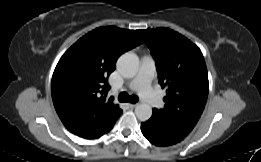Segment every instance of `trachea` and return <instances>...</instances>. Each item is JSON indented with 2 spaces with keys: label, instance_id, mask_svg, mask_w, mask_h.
<instances>
[{
  "label": "trachea",
  "instance_id": "obj_1",
  "mask_svg": "<svg viewBox=\"0 0 261 162\" xmlns=\"http://www.w3.org/2000/svg\"><path fill=\"white\" fill-rule=\"evenodd\" d=\"M118 100L120 102H130V103H136L138 102L139 98L136 95H128L127 92H122L118 96Z\"/></svg>",
  "mask_w": 261,
  "mask_h": 162
}]
</instances>
